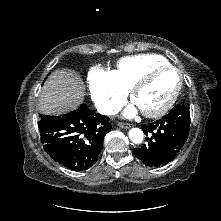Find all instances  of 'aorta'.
Returning <instances> with one entry per match:
<instances>
[{
    "instance_id": "aorta-1",
    "label": "aorta",
    "mask_w": 221,
    "mask_h": 221,
    "mask_svg": "<svg viewBox=\"0 0 221 221\" xmlns=\"http://www.w3.org/2000/svg\"><path fill=\"white\" fill-rule=\"evenodd\" d=\"M129 137L134 144H140L143 141V132L139 128H132L129 131Z\"/></svg>"
}]
</instances>
